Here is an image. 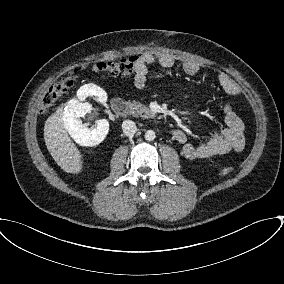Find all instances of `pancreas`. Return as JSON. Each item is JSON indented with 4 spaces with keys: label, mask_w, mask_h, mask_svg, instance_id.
Returning a JSON list of instances; mask_svg holds the SVG:
<instances>
[{
    "label": "pancreas",
    "mask_w": 284,
    "mask_h": 284,
    "mask_svg": "<svg viewBox=\"0 0 284 284\" xmlns=\"http://www.w3.org/2000/svg\"><path fill=\"white\" fill-rule=\"evenodd\" d=\"M129 107L131 113L135 116H140L143 118H153L155 113L152 112L147 106L143 105L138 101L129 102Z\"/></svg>",
    "instance_id": "1"
}]
</instances>
